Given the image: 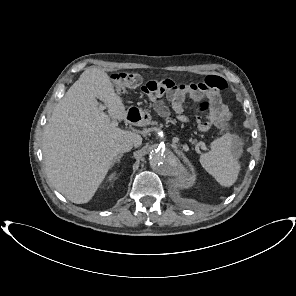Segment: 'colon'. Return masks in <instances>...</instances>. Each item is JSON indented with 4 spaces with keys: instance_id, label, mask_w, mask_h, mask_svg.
Instances as JSON below:
<instances>
[{
    "instance_id": "obj_1",
    "label": "colon",
    "mask_w": 296,
    "mask_h": 296,
    "mask_svg": "<svg viewBox=\"0 0 296 296\" xmlns=\"http://www.w3.org/2000/svg\"><path fill=\"white\" fill-rule=\"evenodd\" d=\"M113 82L118 92L126 93L137 89L141 85L142 79L137 73L120 72L113 76ZM224 119L225 110L219 101L213 99L200 101L197 108V123L201 132H208L213 123H221Z\"/></svg>"
}]
</instances>
